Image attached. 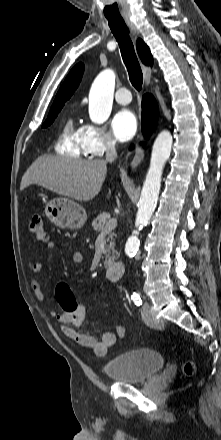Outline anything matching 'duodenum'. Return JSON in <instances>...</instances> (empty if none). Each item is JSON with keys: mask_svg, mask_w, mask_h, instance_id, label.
<instances>
[{"mask_svg": "<svg viewBox=\"0 0 221 440\" xmlns=\"http://www.w3.org/2000/svg\"><path fill=\"white\" fill-rule=\"evenodd\" d=\"M124 264L120 261H112L106 265L107 277L112 281H117L124 275Z\"/></svg>", "mask_w": 221, "mask_h": 440, "instance_id": "duodenum-1", "label": "duodenum"}]
</instances>
